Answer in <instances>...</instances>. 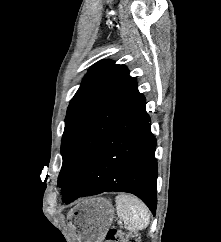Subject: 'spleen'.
Wrapping results in <instances>:
<instances>
[{
	"label": "spleen",
	"mask_w": 221,
	"mask_h": 242,
	"mask_svg": "<svg viewBox=\"0 0 221 242\" xmlns=\"http://www.w3.org/2000/svg\"><path fill=\"white\" fill-rule=\"evenodd\" d=\"M118 217L124 222L125 229L130 232L141 231L149 224V211L137 197L120 194L115 198Z\"/></svg>",
	"instance_id": "1"
}]
</instances>
